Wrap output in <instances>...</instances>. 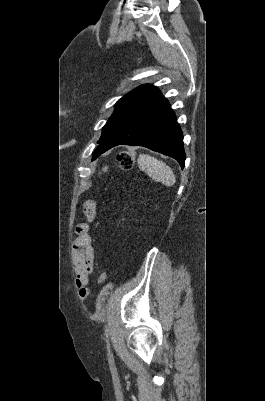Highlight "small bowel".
I'll list each match as a JSON object with an SVG mask.
<instances>
[{
  "instance_id": "small-bowel-1",
  "label": "small bowel",
  "mask_w": 265,
  "mask_h": 401,
  "mask_svg": "<svg viewBox=\"0 0 265 401\" xmlns=\"http://www.w3.org/2000/svg\"><path fill=\"white\" fill-rule=\"evenodd\" d=\"M85 222L76 226L77 238L73 245L74 268L76 275V285L79 288V294L85 298L89 294L86 287L89 277L94 269V249L90 236L91 225L97 218V203L93 199L85 201L83 205Z\"/></svg>"
}]
</instances>
